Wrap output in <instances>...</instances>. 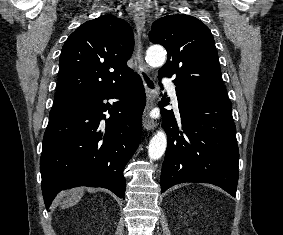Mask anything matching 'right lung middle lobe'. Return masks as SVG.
Segmentation results:
<instances>
[{"label": "right lung middle lobe", "mask_w": 283, "mask_h": 235, "mask_svg": "<svg viewBox=\"0 0 283 235\" xmlns=\"http://www.w3.org/2000/svg\"><path fill=\"white\" fill-rule=\"evenodd\" d=\"M74 103H61V104H54L51 111L49 120L58 118L65 113H67L70 108L73 106Z\"/></svg>", "instance_id": "1"}]
</instances>
